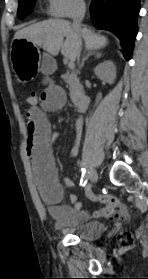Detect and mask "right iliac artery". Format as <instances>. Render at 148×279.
I'll list each match as a JSON object with an SVG mask.
<instances>
[{"instance_id": "82829eb1", "label": "right iliac artery", "mask_w": 148, "mask_h": 279, "mask_svg": "<svg viewBox=\"0 0 148 279\" xmlns=\"http://www.w3.org/2000/svg\"><path fill=\"white\" fill-rule=\"evenodd\" d=\"M82 176H81V180H80V186H85L88 178H89V172L86 171L85 168H82ZM90 191V188H89ZM92 195V193H89L88 196L90 197Z\"/></svg>"}]
</instances>
